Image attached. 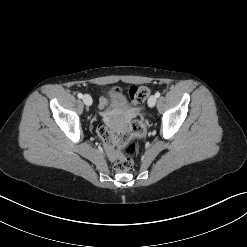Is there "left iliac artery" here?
Returning <instances> with one entry per match:
<instances>
[{"label":"left iliac artery","mask_w":247,"mask_h":247,"mask_svg":"<svg viewBox=\"0 0 247 247\" xmlns=\"http://www.w3.org/2000/svg\"><path fill=\"white\" fill-rule=\"evenodd\" d=\"M155 96H156V98H159L160 97V92H156Z\"/></svg>","instance_id":"44dca946"}]
</instances>
